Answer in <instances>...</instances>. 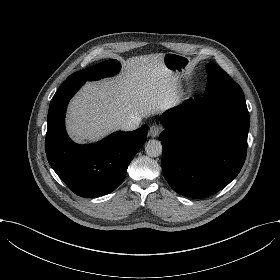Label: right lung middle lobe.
I'll use <instances>...</instances> for the list:
<instances>
[{"label":"right lung middle lobe","mask_w":280,"mask_h":280,"mask_svg":"<svg viewBox=\"0 0 280 280\" xmlns=\"http://www.w3.org/2000/svg\"><path fill=\"white\" fill-rule=\"evenodd\" d=\"M117 60H107L70 75L66 80L94 81L117 74L120 70Z\"/></svg>","instance_id":"dd1d6c3e"}]
</instances>
